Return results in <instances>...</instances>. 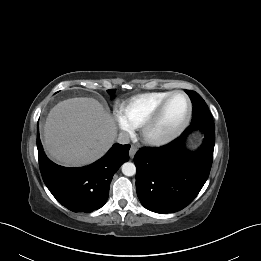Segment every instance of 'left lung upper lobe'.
I'll list each match as a JSON object with an SVG mask.
<instances>
[{
	"label": "left lung upper lobe",
	"mask_w": 261,
	"mask_h": 261,
	"mask_svg": "<svg viewBox=\"0 0 261 261\" xmlns=\"http://www.w3.org/2000/svg\"><path fill=\"white\" fill-rule=\"evenodd\" d=\"M185 91L189 95L193 104L191 125H197V124L214 125L212 115L203 98L194 91L191 90H185Z\"/></svg>",
	"instance_id": "left-lung-upper-lobe-1"
}]
</instances>
